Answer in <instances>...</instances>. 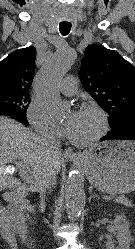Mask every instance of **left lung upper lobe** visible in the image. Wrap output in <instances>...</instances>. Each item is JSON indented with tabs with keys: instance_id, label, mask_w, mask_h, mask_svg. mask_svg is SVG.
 <instances>
[{
	"instance_id": "1",
	"label": "left lung upper lobe",
	"mask_w": 135,
	"mask_h": 249,
	"mask_svg": "<svg viewBox=\"0 0 135 249\" xmlns=\"http://www.w3.org/2000/svg\"><path fill=\"white\" fill-rule=\"evenodd\" d=\"M79 77L109 114L111 129L123 126L135 114V67L116 51L99 45L88 46Z\"/></svg>"
}]
</instances>
